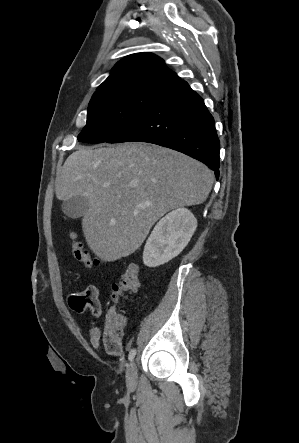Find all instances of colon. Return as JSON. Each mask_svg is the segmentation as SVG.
Wrapping results in <instances>:
<instances>
[{"instance_id": "colon-1", "label": "colon", "mask_w": 299, "mask_h": 443, "mask_svg": "<svg viewBox=\"0 0 299 443\" xmlns=\"http://www.w3.org/2000/svg\"><path fill=\"white\" fill-rule=\"evenodd\" d=\"M74 256L86 266H95L98 259L91 255L82 243L78 241L75 233L69 234ZM139 288V269L136 264H129L120 276L117 283L112 285L111 297L115 302H119L126 294L137 291ZM125 317L116 312H112L107 318L105 328L113 335H120L125 327Z\"/></svg>"}]
</instances>
